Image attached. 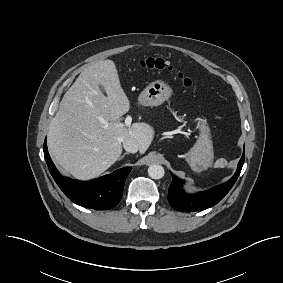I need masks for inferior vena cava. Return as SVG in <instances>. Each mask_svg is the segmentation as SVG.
<instances>
[{
  "mask_svg": "<svg viewBox=\"0 0 283 283\" xmlns=\"http://www.w3.org/2000/svg\"><path fill=\"white\" fill-rule=\"evenodd\" d=\"M122 143L123 148L129 153H136L139 149L137 142L131 138L124 139Z\"/></svg>",
  "mask_w": 283,
  "mask_h": 283,
  "instance_id": "602c4592",
  "label": "inferior vena cava"
}]
</instances>
